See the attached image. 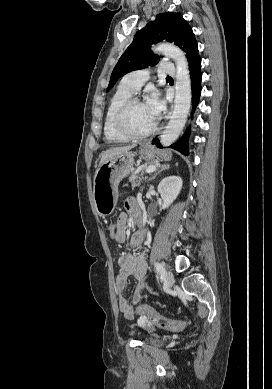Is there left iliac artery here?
Returning a JSON list of instances; mask_svg holds the SVG:
<instances>
[{
	"instance_id": "left-iliac-artery-1",
	"label": "left iliac artery",
	"mask_w": 272,
	"mask_h": 389,
	"mask_svg": "<svg viewBox=\"0 0 272 389\" xmlns=\"http://www.w3.org/2000/svg\"><path fill=\"white\" fill-rule=\"evenodd\" d=\"M154 266H155L156 271L158 272V274L160 276V279L164 280L165 279V268L163 267V265L160 264L159 262H155Z\"/></svg>"
}]
</instances>
